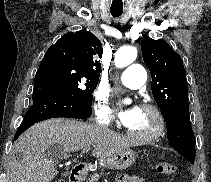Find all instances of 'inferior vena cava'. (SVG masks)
<instances>
[{"mask_svg": "<svg viewBox=\"0 0 211 182\" xmlns=\"http://www.w3.org/2000/svg\"><path fill=\"white\" fill-rule=\"evenodd\" d=\"M102 128L107 129V127L105 125H102Z\"/></svg>", "mask_w": 211, "mask_h": 182, "instance_id": "inferior-vena-cava-1", "label": "inferior vena cava"}]
</instances>
